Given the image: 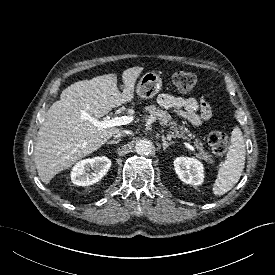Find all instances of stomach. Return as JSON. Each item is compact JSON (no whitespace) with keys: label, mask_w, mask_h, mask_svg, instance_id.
<instances>
[{"label":"stomach","mask_w":275,"mask_h":275,"mask_svg":"<svg viewBox=\"0 0 275 275\" xmlns=\"http://www.w3.org/2000/svg\"><path fill=\"white\" fill-rule=\"evenodd\" d=\"M162 80L154 72H146L137 84L136 93L142 99H151L157 95L161 89Z\"/></svg>","instance_id":"obj_1"}]
</instances>
